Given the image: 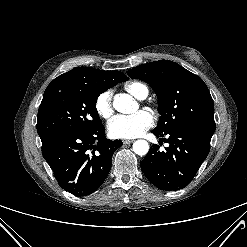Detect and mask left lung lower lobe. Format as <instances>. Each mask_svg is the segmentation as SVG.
<instances>
[{
	"label": "left lung lower lobe",
	"instance_id": "left-lung-lower-lobe-1",
	"mask_svg": "<svg viewBox=\"0 0 247 247\" xmlns=\"http://www.w3.org/2000/svg\"><path fill=\"white\" fill-rule=\"evenodd\" d=\"M156 137L168 136L164 151L153 145L140 162L146 178L161 190L183 189L196 175L210 151L212 135L193 128H176L167 133L153 131Z\"/></svg>",
	"mask_w": 247,
	"mask_h": 247
}]
</instances>
